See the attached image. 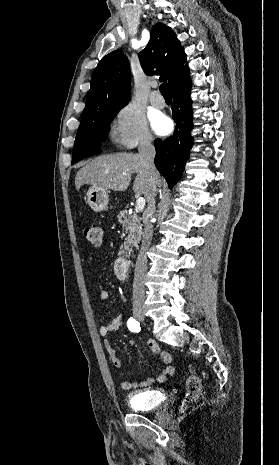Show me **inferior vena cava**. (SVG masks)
<instances>
[{
	"label": "inferior vena cava",
	"instance_id": "inferior-vena-cava-1",
	"mask_svg": "<svg viewBox=\"0 0 279 465\" xmlns=\"http://www.w3.org/2000/svg\"><path fill=\"white\" fill-rule=\"evenodd\" d=\"M139 156L143 160L144 167L147 170L149 178V193L146 197L148 207L144 213V232L142 245L138 255V259L135 266V283L133 286V300L135 303L144 301V276L146 273L147 266V251L151 243L153 234V225L151 219L155 212V195L157 190L156 183V168L154 165L155 148L152 144V138L146 137L141 141L139 147Z\"/></svg>",
	"mask_w": 279,
	"mask_h": 465
}]
</instances>
